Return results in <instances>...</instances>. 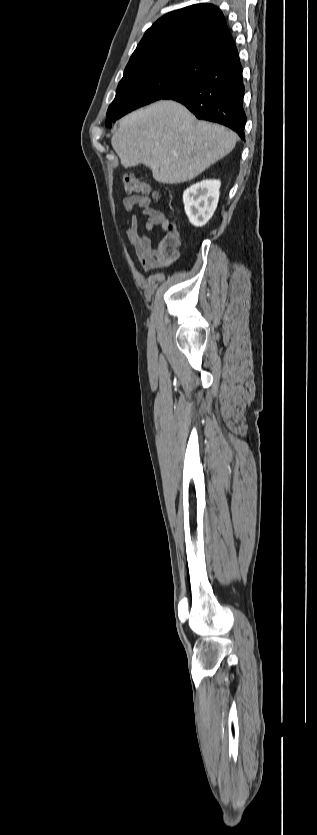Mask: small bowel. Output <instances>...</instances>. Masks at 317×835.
Listing matches in <instances>:
<instances>
[{
  "mask_svg": "<svg viewBox=\"0 0 317 835\" xmlns=\"http://www.w3.org/2000/svg\"><path fill=\"white\" fill-rule=\"evenodd\" d=\"M123 206L127 212H139L145 217L144 229L147 232H151L157 226L165 230L169 223L166 215L160 209L151 206V199L148 196H129L124 199ZM126 235L143 269L151 271L171 265L172 260L164 257L158 248H154L151 238L141 232L136 214H133L130 218Z\"/></svg>",
  "mask_w": 317,
  "mask_h": 835,
  "instance_id": "obj_1",
  "label": "small bowel"
}]
</instances>
